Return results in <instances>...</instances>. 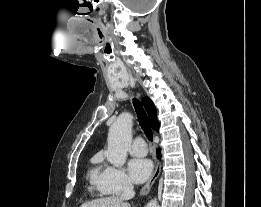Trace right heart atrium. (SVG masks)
Instances as JSON below:
<instances>
[{
  "label": "right heart atrium",
  "mask_w": 261,
  "mask_h": 207,
  "mask_svg": "<svg viewBox=\"0 0 261 207\" xmlns=\"http://www.w3.org/2000/svg\"><path fill=\"white\" fill-rule=\"evenodd\" d=\"M98 186L104 194H119L132 188L126 173L118 167L106 165L98 178Z\"/></svg>",
  "instance_id": "obj_1"
}]
</instances>
